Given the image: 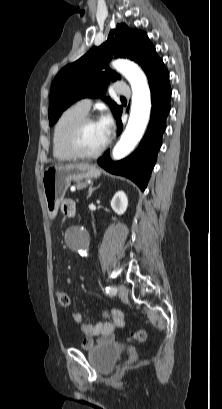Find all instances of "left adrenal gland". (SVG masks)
<instances>
[{
  "mask_svg": "<svg viewBox=\"0 0 222 409\" xmlns=\"http://www.w3.org/2000/svg\"><path fill=\"white\" fill-rule=\"evenodd\" d=\"M100 185H98L97 187H93V184H91L90 185V187H89V191H88V196H87V198H90V196H91V194H92V192L96 189V188H98Z\"/></svg>",
  "mask_w": 222,
  "mask_h": 409,
  "instance_id": "1",
  "label": "left adrenal gland"
}]
</instances>
